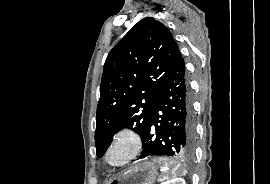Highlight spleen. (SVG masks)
Segmentation results:
<instances>
[{
    "mask_svg": "<svg viewBox=\"0 0 270 184\" xmlns=\"http://www.w3.org/2000/svg\"><path fill=\"white\" fill-rule=\"evenodd\" d=\"M161 168L163 169L162 179L163 180H167V181H163L161 184H165L170 179H173V178L177 177V174H176L177 167H171L170 166V163H168L167 161H165L163 163V165L161 166Z\"/></svg>",
    "mask_w": 270,
    "mask_h": 184,
    "instance_id": "obj_1",
    "label": "spleen"
}]
</instances>
